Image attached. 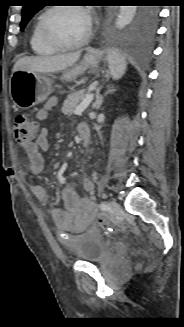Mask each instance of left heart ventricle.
<instances>
[{"mask_svg":"<svg viewBox=\"0 0 184 327\" xmlns=\"http://www.w3.org/2000/svg\"><path fill=\"white\" fill-rule=\"evenodd\" d=\"M52 34L63 42H76L87 32L88 22L85 15L74 9H61L49 18Z\"/></svg>","mask_w":184,"mask_h":327,"instance_id":"left-heart-ventricle-1","label":"left heart ventricle"}]
</instances>
